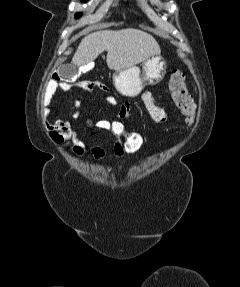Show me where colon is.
I'll return each instance as SVG.
<instances>
[{"label": "colon", "mask_w": 240, "mask_h": 287, "mask_svg": "<svg viewBox=\"0 0 240 287\" xmlns=\"http://www.w3.org/2000/svg\"><path fill=\"white\" fill-rule=\"evenodd\" d=\"M60 84L66 87L67 90L72 88H81L90 90L95 87V82L90 80H82L78 82H68L63 79L59 74L53 76ZM168 88L171 97L176 107L186 116V120L189 124L193 123L195 106L191 95L189 94L186 84L185 75L180 70H174L171 73ZM81 102L76 100L74 102L75 114L74 118H78V109ZM88 124L94 125L98 130L108 131L113 139L119 140L122 144L124 155L138 158L144 148V138L139 132L131 131L129 126L119 119H99L95 122H89Z\"/></svg>", "instance_id": "obj_1"}]
</instances>
